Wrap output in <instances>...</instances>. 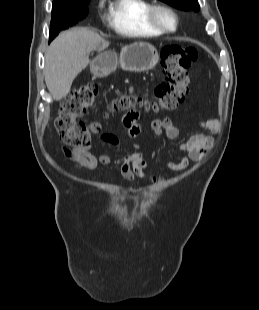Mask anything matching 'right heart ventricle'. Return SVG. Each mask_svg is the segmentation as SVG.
Returning a JSON list of instances; mask_svg holds the SVG:
<instances>
[{
  "label": "right heart ventricle",
  "instance_id": "1",
  "mask_svg": "<svg viewBox=\"0 0 259 310\" xmlns=\"http://www.w3.org/2000/svg\"><path fill=\"white\" fill-rule=\"evenodd\" d=\"M149 0H110L107 23L117 33L135 38L158 37L164 33L148 22Z\"/></svg>",
  "mask_w": 259,
  "mask_h": 310
}]
</instances>
